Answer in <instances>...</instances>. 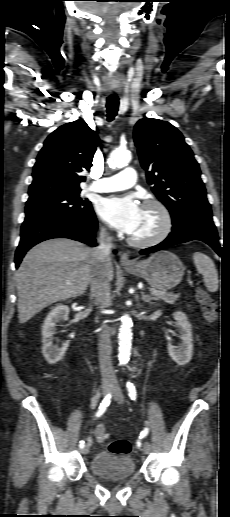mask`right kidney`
<instances>
[{
	"label": "right kidney",
	"mask_w": 230,
	"mask_h": 517,
	"mask_svg": "<svg viewBox=\"0 0 230 517\" xmlns=\"http://www.w3.org/2000/svg\"><path fill=\"white\" fill-rule=\"evenodd\" d=\"M69 315V307L66 305H57L48 313L42 326V353L46 361L55 364L62 360L69 347V341H65L61 346L53 345L54 333L57 323L67 320Z\"/></svg>",
	"instance_id": "obj_1"
}]
</instances>
